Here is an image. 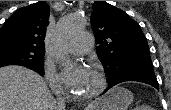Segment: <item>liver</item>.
<instances>
[{"instance_id": "obj_1", "label": "liver", "mask_w": 171, "mask_h": 110, "mask_svg": "<svg viewBox=\"0 0 171 110\" xmlns=\"http://www.w3.org/2000/svg\"><path fill=\"white\" fill-rule=\"evenodd\" d=\"M100 102L88 107L95 110ZM0 110H58L44 79L22 66L0 68Z\"/></svg>"}]
</instances>
